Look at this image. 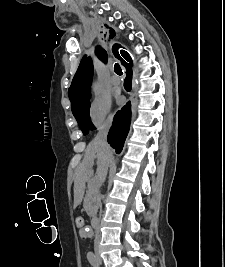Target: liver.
Returning <instances> with one entry per match:
<instances>
[{
    "mask_svg": "<svg viewBox=\"0 0 225 267\" xmlns=\"http://www.w3.org/2000/svg\"><path fill=\"white\" fill-rule=\"evenodd\" d=\"M97 159V175L108 164L109 158L102 150L99 144L92 140L86 150L83 161L76 169V177L74 183V207L78 206L83 199L85 182L92 175V166L94 160ZM97 177V176H96Z\"/></svg>",
    "mask_w": 225,
    "mask_h": 267,
    "instance_id": "liver-1",
    "label": "liver"
}]
</instances>
